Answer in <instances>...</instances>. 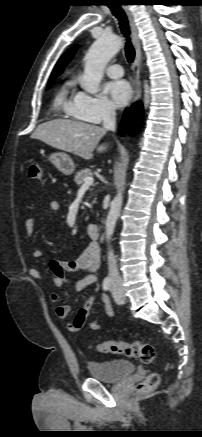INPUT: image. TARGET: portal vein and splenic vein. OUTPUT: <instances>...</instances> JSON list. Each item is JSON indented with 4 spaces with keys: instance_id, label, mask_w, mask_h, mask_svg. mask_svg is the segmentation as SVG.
<instances>
[{
    "instance_id": "portal-vein-and-splenic-vein-1",
    "label": "portal vein and splenic vein",
    "mask_w": 202,
    "mask_h": 437,
    "mask_svg": "<svg viewBox=\"0 0 202 437\" xmlns=\"http://www.w3.org/2000/svg\"><path fill=\"white\" fill-rule=\"evenodd\" d=\"M94 183L93 177H87L84 184L81 186L80 190H87Z\"/></svg>"
}]
</instances>
